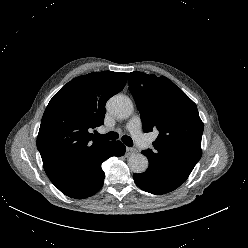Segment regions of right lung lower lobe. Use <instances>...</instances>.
Returning a JSON list of instances; mask_svg holds the SVG:
<instances>
[{"instance_id":"98d812e1","label":"right lung lower lobe","mask_w":248,"mask_h":248,"mask_svg":"<svg viewBox=\"0 0 248 248\" xmlns=\"http://www.w3.org/2000/svg\"><path fill=\"white\" fill-rule=\"evenodd\" d=\"M126 147L120 141H111L98 156L91 161L80 163L73 172L55 186L65 195L83 199L97 193L104 183L105 174L101 164L111 156H122Z\"/></svg>"}]
</instances>
